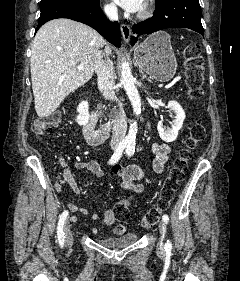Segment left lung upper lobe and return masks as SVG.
Masks as SVG:
<instances>
[{
	"mask_svg": "<svg viewBox=\"0 0 240 281\" xmlns=\"http://www.w3.org/2000/svg\"><path fill=\"white\" fill-rule=\"evenodd\" d=\"M158 1H160V0H155V2H158Z\"/></svg>",
	"mask_w": 240,
	"mask_h": 281,
	"instance_id": "left-lung-upper-lobe-1",
	"label": "left lung upper lobe"
}]
</instances>
